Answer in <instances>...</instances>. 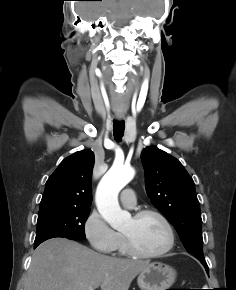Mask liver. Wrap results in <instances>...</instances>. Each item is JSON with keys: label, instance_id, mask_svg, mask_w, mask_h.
Segmentation results:
<instances>
[{"label": "liver", "instance_id": "6515ba94", "mask_svg": "<svg viewBox=\"0 0 236 290\" xmlns=\"http://www.w3.org/2000/svg\"><path fill=\"white\" fill-rule=\"evenodd\" d=\"M148 261L97 253L65 238H52L33 253L24 290H128Z\"/></svg>", "mask_w": 236, "mask_h": 290}]
</instances>
